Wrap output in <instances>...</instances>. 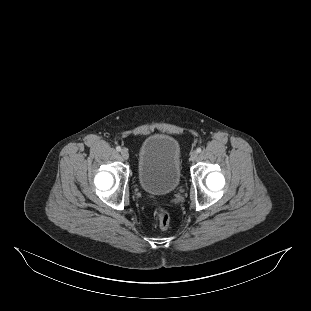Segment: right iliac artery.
<instances>
[{
    "label": "right iliac artery",
    "instance_id": "right-iliac-artery-1",
    "mask_svg": "<svg viewBox=\"0 0 311 311\" xmlns=\"http://www.w3.org/2000/svg\"><path fill=\"white\" fill-rule=\"evenodd\" d=\"M116 150H117V151H121V147H120V146H117V147H116Z\"/></svg>",
    "mask_w": 311,
    "mask_h": 311
}]
</instances>
